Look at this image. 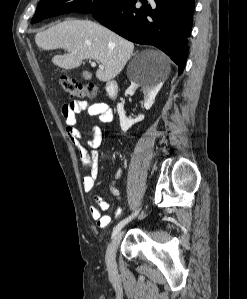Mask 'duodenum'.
I'll use <instances>...</instances> for the list:
<instances>
[{"label":"duodenum","mask_w":247,"mask_h":299,"mask_svg":"<svg viewBox=\"0 0 247 299\" xmlns=\"http://www.w3.org/2000/svg\"><path fill=\"white\" fill-rule=\"evenodd\" d=\"M106 92L109 98L115 99L118 95V85L114 81H110L106 85Z\"/></svg>","instance_id":"410a0bca"}]
</instances>
